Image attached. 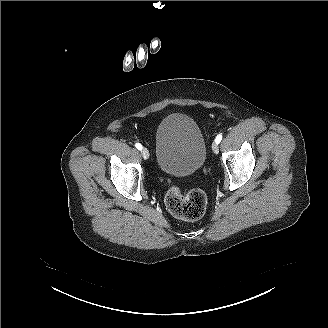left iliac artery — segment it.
Returning <instances> with one entry per match:
<instances>
[{"mask_svg": "<svg viewBox=\"0 0 328 328\" xmlns=\"http://www.w3.org/2000/svg\"><path fill=\"white\" fill-rule=\"evenodd\" d=\"M221 140H222V135L221 134L217 135L215 142L219 144L221 142Z\"/></svg>", "mask_w": 328, "mask_h": 328, "instance_id": "1", "label": "left iliac artery"}]
</instances>
